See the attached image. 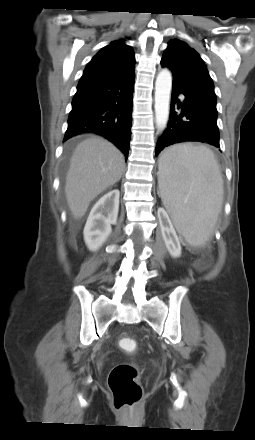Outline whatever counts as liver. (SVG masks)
I'll list each match as a JSON object with an SVG mask.
<instances>
[{"label":"liver","instance_id":"liver-1","mask_svg":"<svg viewBox=\"0 0 255 440\" xmlns=\"http://www.w3.org/2000/svg\"><path fill=\"white\" fill-rule=\"evenodd\" d=\"M124 167L123 154L103 138L93 136L77 145L65 185L67 203L74 219H81L90 202L121 179Z\"/></svg>","mask_w":255,"mask_h":440}]
</instances>
